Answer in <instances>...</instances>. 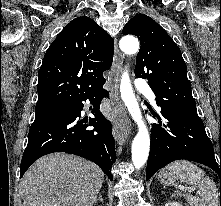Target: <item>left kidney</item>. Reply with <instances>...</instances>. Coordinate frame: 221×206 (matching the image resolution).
<instances>
[{"instance_id":"1","label":"left kidney","mask_w":221,"mask_h":206,"mask_svg":"<svg viewBox=\"0 0 221 206\" xmlns=\"http://www.w3.org/2000/svg\"><path fill=\"white\" fill-rule=\"evenodd\" d=\"M165 206H182L179 202H168L165 204Z\"/></svg>"}]
</instances>
